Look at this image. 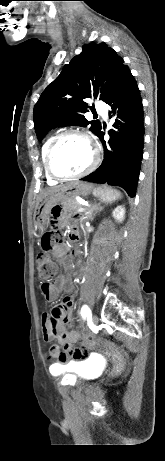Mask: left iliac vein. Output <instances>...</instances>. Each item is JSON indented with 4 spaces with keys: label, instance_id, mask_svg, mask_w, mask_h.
I'll use <instances>...</instances> for the list:
<instances>
[{
    "label": "left iliac vein",
    "instance_id": "obj_1",
    "mask_svg": "<svg viewBox=\"0 0 165 461\" xmlns=\"http://www.w3.org/2000/svg\"><path fill=\"white\" fill-rule=\"evenodd\" d=\"M98 322H99L98 316L94 314L92 316V324L96 326Z\"/></svg>",
    "mask_w": 165,
    "mask_h": 461
}]
</instances>
